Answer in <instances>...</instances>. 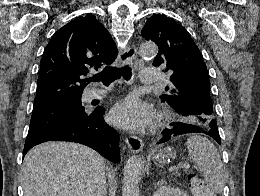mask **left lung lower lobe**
Returning a JSON list of instances; mask_svg holds the SVG:
<instances>
[{
    "label": "left lung lower lobe",
    "mask_w": 260,
    "mask_h": 196,
    "mask_svg": "<svg viewBox=\"0 0 260 196\" xmlns=\"http://www.w3.org/2000/svg\"><path fill=\"white\" fill-rule=\"evenodd\" d=\"M194 114H207L211 113L210 110L206 108L194 109L192 110ZM174 127L172 129H165L162 134L163 138L159 143L169 140L172 136L182 135L186 133H205L215 139L219 144H221V139L219 137L217 122L212 121L208 129H203L197 125L188 124V123H171Z\"/></svg>",
    "instance_id": "0a47b994"
}]
</instances>
